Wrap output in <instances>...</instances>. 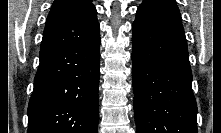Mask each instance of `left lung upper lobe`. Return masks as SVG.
<instances>
[{"label": "left lung upper lobe", "mask_w": 221, "mask_h": 133, "mask_svg": "<svg viewBox=\"0 0 221 133\" xmlns=\"http://www.w3.org/2000/svg\"><path fill=\"white\" fill-rule=\"evenodd\" d=\"M135 21L184 30L175 0H143Z\"/></svg>", "instance_id": "1"}]
</instances>
